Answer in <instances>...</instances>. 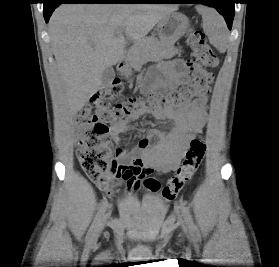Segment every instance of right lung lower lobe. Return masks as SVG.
Wrapping results in <instances>:
<instances>
[{
	"label": "right lung lower lobe",
	"instance_id": "1",
	"mask_svg": "<svg viewBox=\"0 0 279 267\" xmlns=\"http://www.w3.org/2000/svg\"><path fill=\"white\" fill-rule=\"evenodd\" d=\"M153 0H45L44 18L48 22L52 12L62 3H149Z\"/></svg>",
	"mask_w": 279,
	"mask_h": 267
}]
</instances>
